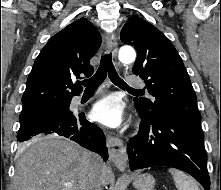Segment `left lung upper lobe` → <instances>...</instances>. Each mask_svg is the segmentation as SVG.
Here are the masks:
<instances>
[{
  "instance_id": "left-lung-upper-lobe-1",
  "label": "left lung upper lobe",
  "mask_w": 221,
  "mask_h": 190,
  "mask_svg": "<svg viewBox=\"0 0 221 190\" xmlns=\"http://www.w3.org/2000/svg\"><path fill=\"white\" fill-rule=\"evenodd\" d=\"M121 41L133 45L137 59L133 73L145 80L153 100L135 98L142 113L173 116L201 128L197 97L181 57L171 42L151 23L131 16L122 28Z\"/></svg>"
}]
</instances>
